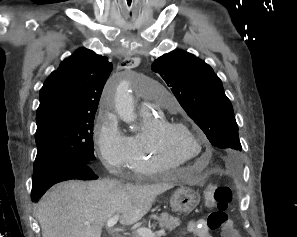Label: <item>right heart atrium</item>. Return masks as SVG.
<instances>
[{"label":"right heart atrium","instance_id":"right-heart-atrium-1","mask_svg":"<svg viewBox=\"0 0 297 237\" xmlns=\"http://www.w3.org/2000/svg\"><path fill=\"white\" fill-rule=\"evenodd\" d=\"M95 144L100 158L115 173L128 167L129 137L123 134L118 118L110 109H103L95 125Z\"/></svg>","mask_w":297,"mask_h":237}]
</instances>
